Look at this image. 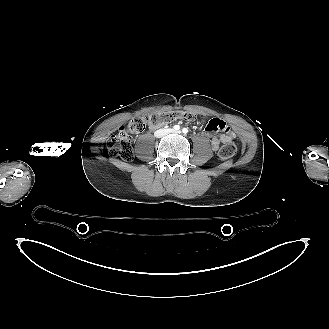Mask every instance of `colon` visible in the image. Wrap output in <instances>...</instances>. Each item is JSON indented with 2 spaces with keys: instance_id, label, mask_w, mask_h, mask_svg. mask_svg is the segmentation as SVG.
Wrapping results in <instances>:
<instances>
[{
  "instance_id": "1",
  "label": "colon",
  "mask_w": 329,
  "mask_h": 329,
  "mask_svg": "<svg viewBox=\"0 0 329 329\" xmlns=\"http://www.w3.org/2000/svg\"><path fill=\"white\" fill-rule=\"evenodd\" d=\"M176 120L193 122L197 120V115L192 112L166 111L133 117L126 125L121 126L116 134L110 136L107 150L113 156L130 161L133 158L131 135L143 132L146 127H159ZM236 150L235 142L226 140L219 148L218 154L222 160H227L234 156Z\"/></svg>"
}]
</instances>
